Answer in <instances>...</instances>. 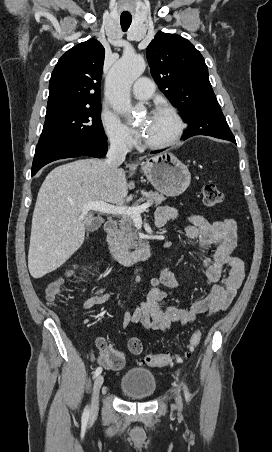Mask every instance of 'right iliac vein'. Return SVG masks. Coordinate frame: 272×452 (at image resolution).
<instances>
[{
  "mask_svg": "<svg viewBox=\"0 0 272 452\" xmlns=\"http://www.w3.org/2000/svg\"><path fill=\"white\" fill-rule=\"evenodd\" d=\"M103 382H104L103 375H98L94 381L93 394H92V400H91V414L92 415H95L98 412L99 393H100V389L103 385Z\"/></svg>",
  "mask_w": 272,
  "mask_h": 452,
  "instance_id": "obj_1",
  "label": "right iliac vein"
}]
</instances>
